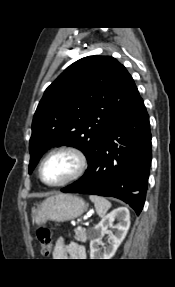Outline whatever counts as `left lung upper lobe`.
<instances>
[{
    "label": "left lung upper lobe",
    "mask_w": 175,
    "mask_h": 287,
    "mask_svg": "<svg viewBox=\"0 0 175 287\" xmlns=\"http://www.w3.org/2000/svg\"><path fill=\"white\" fill-rule=\"evenodd\" d=\"M138 96L133 78L113 57L88 56L71 64L45 90L34 114L29 173L45 151L61 145L80 149L89 169L108 130Z\"/></svg>",
    "instance_id": "left-lung-upper-lobe-1"
}]
</instances>
